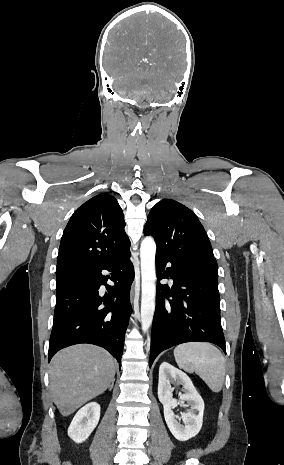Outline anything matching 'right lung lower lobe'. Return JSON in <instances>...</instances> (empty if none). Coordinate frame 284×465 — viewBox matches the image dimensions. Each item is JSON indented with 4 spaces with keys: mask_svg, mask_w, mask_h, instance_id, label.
Wrapping results in <instances>:
<instances>
[{
    "mask_svg": "<svg viewBox=\"0 0 284 465\" xmlns=\"http://www.w3.org/2000/svg\"><path fill=\"white\" fill-rule=\"evenodd\" d=\"M130 255L128 247L96 269L57 281L48 361L62 348L89 343L105 348L121 367L124 336L132 312L129 293L134 268ZM102 270L111 273L105 276ZM108 278L114 286L106 285ZM101 285L107 289L103 297Z\"/></svg>",
    "mask_w": 284,
    "mask_h": 465,
    "instance_id": "obj_1",
    "label": "right lung lower lobe"
}]
</instances>
